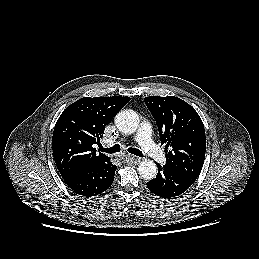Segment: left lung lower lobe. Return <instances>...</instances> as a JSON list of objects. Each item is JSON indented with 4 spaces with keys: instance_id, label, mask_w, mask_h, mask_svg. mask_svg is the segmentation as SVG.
Returning a JSON list of instances; mask_svg holds the SVG:
<instances>
[{
    "instance_id": "obj_1",
    "label": "left lung lower lobe",
    "mask_w": 259,
    "mask_h": 259,
    "mask_svg": "<svg viewBox=\"0 0 259 259\" xmlns=\"http://www.w3.org/2000/svg\"><path fill=\"white\" fill-rule=\"evenodd\" d=\"M158 166L156 178L147 184L148 189L163 198H172L184 193L193 183L167 165Z\"/></svg>"
}]
</instances>
